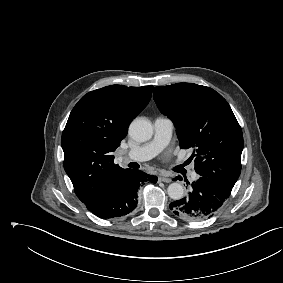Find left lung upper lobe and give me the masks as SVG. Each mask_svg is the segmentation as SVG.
<instances>
[{
    "label": "left lung upper lobe",
    "instance_id": "1",
    "mask_svg": "<svg viewBox=\"0 0 283 283\" xmlns=\"http://www.w3.org/2000/svg\"><path fill=\"white\" fill-rule=\"evenodd\" d=\"M153 97L173 121L180 148H194L195 171L233 187L241 172L243 134L227 101L193 83L155 87Z\"/></svg>",
    "mask_w": 283,
    "mask_h": 283
}]
</instances>
